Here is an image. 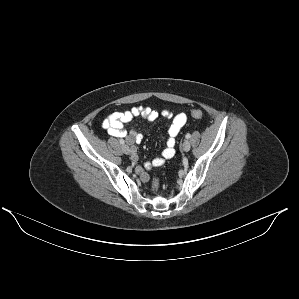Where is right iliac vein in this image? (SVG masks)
<instances>
[{"label": "right iliac vein", "instance_id": "63e3f726", "mask_svg": "<svg viewBox=\"0 0 299 299\" xmlns=\"http://www.w3.org/2000/svg\"><path fill=\"white\" fill-rule=\"evenodd\" d=\"M122 150L125 154H130V148L126 144L122 145Z\"/></svg>", "mask_w": 299, "mask_h": 299}]
</instances>
